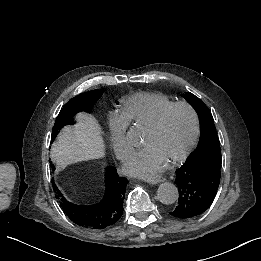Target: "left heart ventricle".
<instances>
[{
    "mask_svg": "<svg viewBox=\"0 0 261 261\" xmlns=\"http://www.w3.org/2000/svg\"><path fill=\"white\" fill-rule=\"evenodd\" d=\"M194 128L193 117L183 108L172 107L164 111L155 124L139 123L141 143L153 145L166 159L183 150Z\"/></svg>",
    "mask_w": 261,
    "mask_h": 261,
    "instance_id": "left-heart-ventricle-1",
    "label": "left heart ventricle"
}]
</instances>
